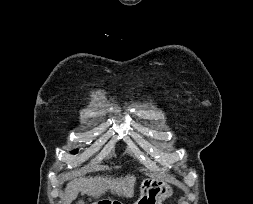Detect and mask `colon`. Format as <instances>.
Segmentation results:
<instances>
[{"label":"colon","mask_w":253,"mask_h":204,"mask_svg":"<svg viewBox=\"0 0 253 204\" xmlns=\"http://www.w3.org/2000/svg\"><path fill=\"white\" fill-rule=\"evenodd\" d=\"M104 202H99L98 204H103ZM93 204H95V203H93Z\"/></svg>","instance_id":"obj_1"}]
</instances>
